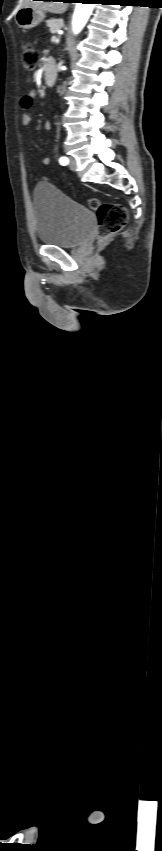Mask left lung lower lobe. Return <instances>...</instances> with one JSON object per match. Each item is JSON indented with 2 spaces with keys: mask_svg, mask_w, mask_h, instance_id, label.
<instances>
[{
  "mask_svg": "<svg viewBox=\"0 0 162 851\" xmlns=\"http://www.w3.org/2000/svg\"><path fill=\"white\" fill-rule=\"evenodd\" d=\"M86 1L91 2V3H94V2H96L97 0H86Z\"/></svg>",
  "mask_w": 162,
  "mask_h": 851,
  "instance_id": "0a47b994",
  "label": "left lung lower lobe"
}]
</instances>
